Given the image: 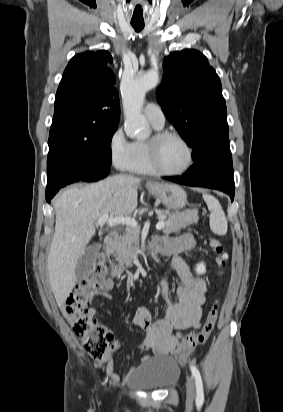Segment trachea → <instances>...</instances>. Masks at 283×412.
<instances>
[{"mask_svg": "<svg viewBox=\"0 0 283 412\" xmlns=\"http://www.w3.org/2000/svg\"><path fill=\"white\" fill-rule=\"evenodd\" d=\"M131 25L133 26L136 32H139L144 28L143 23H132Z\"/></svg>", "mask_w": 283, "mask_h": 412, "instance_id": "3493384b", "label": "trachea"}]
</instances>
